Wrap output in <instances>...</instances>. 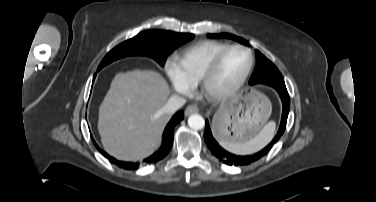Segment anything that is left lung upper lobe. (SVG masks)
<instances>
[{"label": "left lung upper lobe", "instance_id": "5c2ea615", "mask_svg": "<svg viewBox=\"0 0 376 202\" xmlns=\"http://www.w3.org/2000/svg\"><path fill=\"white\" fill-rule=\"evenodd\" d=\"M207 36L210 38H230L247 45L244 39L228 33L207 34ZM255 54L257 63L249 81L250 85L264 83L272 87L280 86L286 88L284 79L276 66L258 50L255 51Z\"/></svg>", "mask_w": 376, "mask_h": 202}]
</instances>
